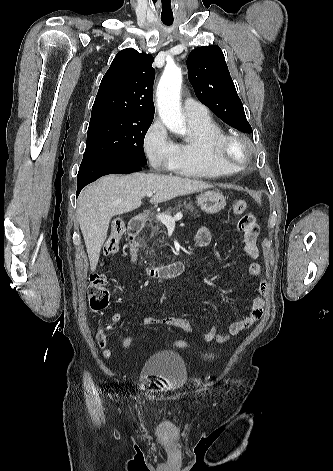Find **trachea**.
I'll return each mask as SVG.
<instances>
[{"label":"trachea","instance_id":"3493384b","mask_svg":"<svg viewBox=\"0 0 333 471\" xmlns=\"http://www.w3.org/2000/svg\"><path fill=\"white\" fill-rule=\"evenodd\" d=\"M162 22L165 24V25H170L173 20H162Z\"/></svg>","mask_w":333,"mask_h":471}]
</instances>
